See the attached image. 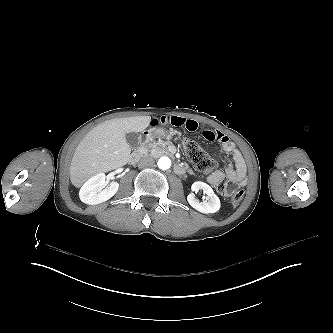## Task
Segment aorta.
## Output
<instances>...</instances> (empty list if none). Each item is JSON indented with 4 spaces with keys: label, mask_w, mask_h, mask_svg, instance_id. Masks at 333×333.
I'll use <instances>...</instances> for the list:
<instances>
[{
    "label": "aorta",
    "mask_w": 333,
    "mask_h": 333,
    "mask_svg": "<svg viewBox=\"0 0 333 333\" xmlns=\"http://www.w3.org/2000/svg\"><path fill=\"white\" fill-rule=\"evenodd\" d=\"M171 166V160L168 157H161L158 161V167L162 170H167Z\"/></svg>",
    "instance_id": "1"
}]
</instances>
